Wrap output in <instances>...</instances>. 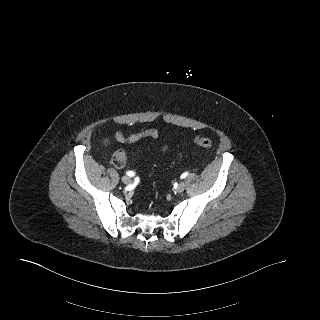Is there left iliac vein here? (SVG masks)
<instances>
[{
  "instance_id": "left-iliac-vein-1",
  "label": "left iliac vein",
  "mask_w": 320,
  "mask_h": 320,
  "mask_svg": "<svg viewBox=\"0 0 320 320\" xmlns=\"http://www.w3.org/2000/svg\"><path fill=\"white\" fill-rule=\"evenodd\" d=\"M185 186H186L185 182H183V181L180 182L178 184L177 188H176V192L177 193H182L184 191V189H185Z\"/></svg>"
}]
</instances>
